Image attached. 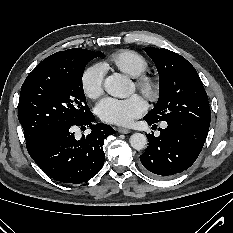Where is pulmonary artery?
Returning a JSON list of instances; mask_svg holds the SVG:
<instances>
[{
  "instance_id": "pulmonary-artery-1",
  "label": "pulmonary artery",
  "mask_w": 233,
  "mask_h": 233,
  "mask_svg": "<svg viewBox=\"0 0 233 233\" xmlns=\"http://www.w3.org/2000/svg\"><path fill=\"white\" fill-rule=\"evenodd\" d=\"M167 125L166 124H163L162 127L165 128Z\"/></svg>"
}]
</instances>
